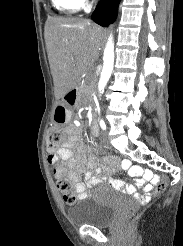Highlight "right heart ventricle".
<instances>
[{
    "label": "right heart ventricle",
    "instance_id": "right-heart-ventricle-1",
    "mask_svg": "<svg viewBox=\"0 0 183 246\" xmlns=\"http://www.w3.org/2000/svg\"><path fill=\"white\" fill-rule=\"evenodd\" d=\"M52 6L63 14H73L80 9L77 0H51Z\"/></svg>",
    "mask_w": 183,
    "mask_h": 246
}]
</instances>
